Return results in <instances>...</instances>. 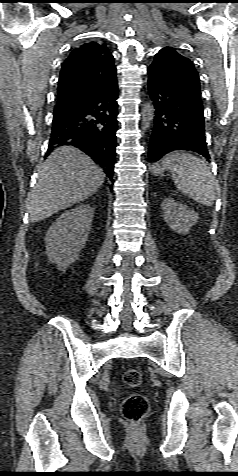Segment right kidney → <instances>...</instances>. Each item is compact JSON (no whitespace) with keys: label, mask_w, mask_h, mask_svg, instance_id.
I'll use <instances>...</instances> for the list:
<instances>
[{"label":"right kidney","mask_w":238,"mask_h":476,"mask_svg":"<svg viewBox=\"0 0 238 476\" xmlns=\"http://www.w3.org/2000/svg\"><path fill=\"white\" fill-rule=\"evenodd\" d=\"M94 208L88 204L63 213L46 233V253L59 270L68 268L85 247L91 230Z\"/></svg>","instance_id":"ca27d5eb"}]
</instances>
